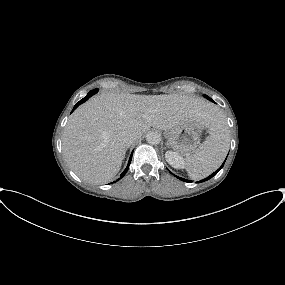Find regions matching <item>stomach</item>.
Masks as SVG:
<instances>
[{"label":"stomach","instance_id":"1","mask_svg":"<svg viewBox=\"0 0 285 285\" xmlns=\"http://www.w3.org/2000/svg\"><path fill=\"white\" fill-rule=\"evenodd\" d=\"M205 127L200 122H188L166 130L167 143L181 153L196 152L200 144L199 132Z\"/></svg>","mask_w":285,"mask_h":285}]
</instances>
